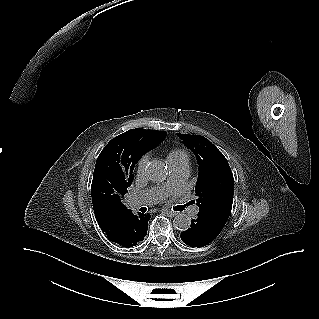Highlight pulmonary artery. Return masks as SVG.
Returning a JSON list of instances; mask_svg holds the SVG:
<instances>
[{"mask_svg": "<svg viewBox=\"0 0 319 319\" xmlns=\"http://www.w3.org/2000/svg\"><path fill=\"white\" fill-rule=\"evenodd\" d=\"M172 171V177L175 183L182 184L189 175V160L183 159L173 165H170ZM165 192L163 190L151 189L143 191L137 195L132 196L129 199V205L131 208H139L152 203L157 202L164 197ZM197 209H195V213Z\"/></svg>", "mask_w": 319, "mask_h": 319, "instance_id": "e3ab8cb5", "label": "pulmonary artery"}]
</instances>
